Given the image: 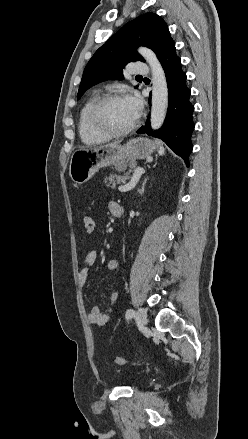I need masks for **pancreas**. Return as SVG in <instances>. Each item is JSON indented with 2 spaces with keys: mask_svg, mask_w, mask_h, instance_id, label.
I'll list each match as a JSON object with an SVG mask.
<instances>
[{
  "mask_svg": "<svg viewBox=\"0 0 248 439\" xmlns=\"http://www.w3.org/2000/svg\"><path fill=\"white\" fill-rule=\"evenodd\" d=\"M131 171L127 172L126 174H124L123 176L114 174V175H110L108 178H105V182L108 180L109 184L108 186H110L111 188H115V186L119 183H124L126 180L130 179Z\"/></svg>",
  "mask_w": 248,
  "mask_h": 439,
  "instance_id": "pancreas-1",
  "label": "pancreas"
}]
</instances>
